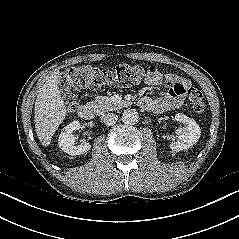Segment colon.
<instances>
[{"mask_svg": "<svg viewBox=\"0 0 239 239\" xmlns=\"http://www.w3.org/2000/svg\"><path fill=\"white\" fill-rule=\"evenodd\" d=\"M145 70L140 65L121 64L110 69L95 66H76L67 69L60 78L61 90L69 111H74L77 100L75 90L84 88L103 89L109 86L131 87L141 82ZM187 98L191 109L196 113L205 110L203 94L196 88H190Z\"/></svg>", "mask_w": 239, "mask_h": 239, "instance_id": "colon-1", "label": "colon"}]
</instances>
